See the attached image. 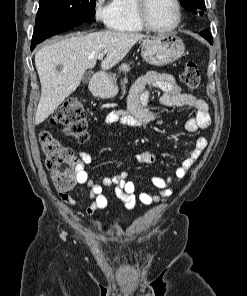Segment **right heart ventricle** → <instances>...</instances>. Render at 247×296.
<instances>
[{
	"label": "right heart ventricle",
	"instance_id": "obj_1",
	"mask_svg": "<svg viewBox=\"0 0 247 296\" xmlns=\"http://www.w3.org/2000/svg\"><path fill=\"white\" fill-rule=\"evenodd\" d=\"M115 18L110 26L118 32L137 33L144 28L138 22L135 15V0H113Z\"/></svg>",
	"mask_w": 247,
	"mask_h": 296
}]
</instances>
